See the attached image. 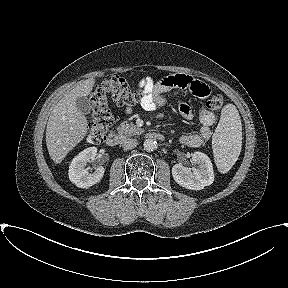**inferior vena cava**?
Returning a JSON list of instances; mask_svg holds the SVG:
<instances>
[{
    "mask_svg": "<svg viewBox=\"0 0 288 288\" xmlns=\"http://www.w3.org/2000/svg\"><path fill=\"white\" fill-rule=\"evenodd\" d=\"M137 145H138L137 140L133 138H127L122 142V147L124 150H131L135 148Z\"/></svg>",
    "mask_w": 288,
    "mask_h": 288,
    "instance_id": "obj_1",
    "label": "inferior vena cava"
}]
</instances>
